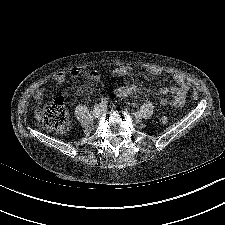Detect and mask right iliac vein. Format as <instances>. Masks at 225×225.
Listing matches in <instances>:
<instances>
[{
    "label": "right iliac vein",
    "instance_id": "63e3f726",
    "mask_svg": "<svg viewBox=\"0 0 225 225\" xmlns=\"http://www.w3.org/2000/svg\"><path fill=\"white\" fill-rule=\"evenodd\" d=\"M103 113V107L101 105H96L93 109V115L94 117L98 118Z\"/></svg>",
    "mask_w": 225,
    "mask_h": 225
}]
</instances>
